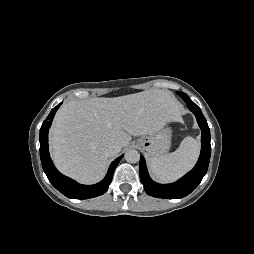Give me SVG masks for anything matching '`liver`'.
<instances>
[{
    "label": "liver",
    "instance_id": "6515ba94",
    "mask_svg": "<svg viewBox=\"0 0 254 254\" xmlns=\"http://www.w3.org/2000/svg\"><path fill=\"white\" fill-rule=\"evenodd\" d=\"M180 113L172 93L160 89L69 101L58 110L50 131L54 163L80 183H96L104 177L111 157L108 145L125 147L131 136L151 135L168 122L179 121Z\"/></svg>",
    "mask_w": 254,
    "mask_h": 254
}]
</instances>
